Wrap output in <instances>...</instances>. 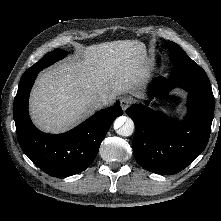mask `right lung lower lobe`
<instances>
[{
  "label": "right lung lower lobe",
  "instance_id": "right-lung-lower-lobe-1",
  "mask_svg": "<svg viewBox=\"0 0 221 221\" xmlns=\"http://www.w3.org/2000/svg\"><path fill=\"white\" fill-rule=\"evenodd\" d=\"M41 70L20 80L14 99V119L23 152L45 173L54 177L71 176L84 171L94 161L100 144L122 109L119 101L96 112L74 129L62 134H46L32 123L28 100L32 85Z\"/></svg>",
  "mask_w": 221,
  "mask_h": 221
}]
</instances>
